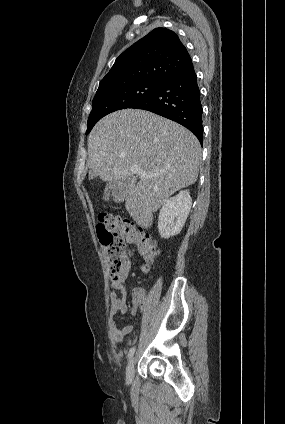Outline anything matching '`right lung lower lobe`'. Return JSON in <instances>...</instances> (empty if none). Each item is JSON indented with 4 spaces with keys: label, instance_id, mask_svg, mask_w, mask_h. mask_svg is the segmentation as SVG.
<instances>
[{
    "label": "right lung lower lobe",
    "instance_id": "right-lung-lower-lobe-1",
    "mask_svg": "<svg viewBox=\"0 0 285 424\" xmlns=\"http://www.w3.org/2000/svg\"><path fill=\"white\" fill-rule=\"evenodd\" d=\"M130 108L148 110L173 120L189 129L200 143L203 142V110L193 64L164 81L154 94Z\"/></svg>",
    "mask_w": 285,
    "mask_h": 424
}]
</instances>
